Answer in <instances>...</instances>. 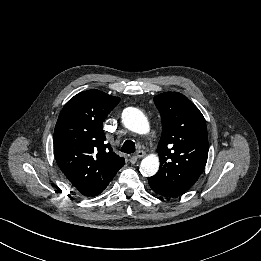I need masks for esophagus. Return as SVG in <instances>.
I'll use <instances>...</instances> for the list:
<instances>
[{
    "label": "esophagus",
    "instance_id": "obj_1",
    "mask_svg": "<svg viewBox=\"0 0 261 261\" xmlns=\"http://www.w3.org/2000/svg\"><path fill=\"white\" fill-rule=\"evenodd\" d=\"M144 156H145V152L142 151V150L137 151L136 154H135L136 158H142Z\"/></svg>",
    "mask_w": 261,
    "mask_h": 261
}]
</instances>
